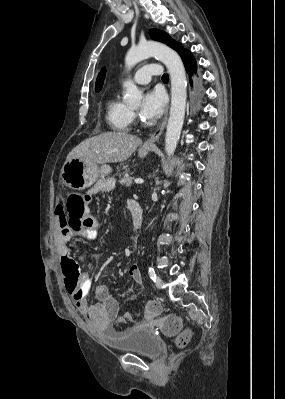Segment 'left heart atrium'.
I'll list each match as a JSON object with an SVG mask.
<instances>
[{"label":"left heart atrium","mask_w":285,"mask_h":399,"mask_svg":"<svg viewBox=\"0 0 285 399\" xmlns=\"http://www.w3.org/2000/svg\"><path fill=\"white\" fill-rule=\"evenodd\" d=\"M166 106V97L164 93L155 88L145 93L140 108L141 115L148 120L159 118Z\"/></svg>","instance_id":"1"}]
</instances>
